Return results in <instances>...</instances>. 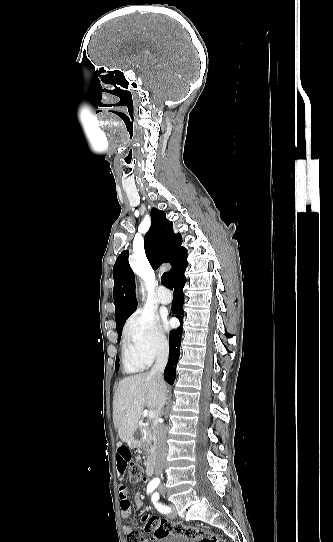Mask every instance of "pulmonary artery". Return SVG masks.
Listing matches in <instances>:
<instances>
[{
  "label": "pulmonary artery",
  "mask_w": 333,
  "mask_h": 542,
  "mask_svg": "<svg viewBox=\"0 0 333 542\" xmlns=\"http://www.w3.org/2000/svg\"><path fill=\"white\" fill-rule=\"evenodd\" d=\"M158 294H157V297H158V300H159V303L163 304V305H168L171 303V291L167 288L166 285H159L158 286Z\"/></svg>",
  "instance_id": "obj_1"
}]
</instances>
